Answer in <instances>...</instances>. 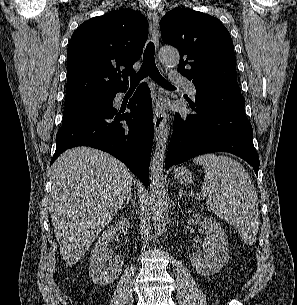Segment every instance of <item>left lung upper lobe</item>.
<instances>
[{
	"mask_svg": "<svg viewBox=\"0 0 297 305\" xmlns=\"http://www.w3.org/2000/svg\"><path fill=\"white\" fill-rule=\"evenodd\" d=\"M162 39L178 48V70L196 90L237 81L231 36L217 18L189 8H175L160 21ZM189 65L190 69H185Z\"/></svg>",
	"mask_w": 297,
	"mask_h": 305,
	"instance_id": "left-lung-upper-lobe-1",
	"label": "left lung upper lobe"
}]
</instances>
